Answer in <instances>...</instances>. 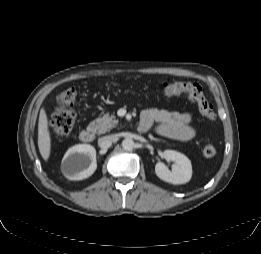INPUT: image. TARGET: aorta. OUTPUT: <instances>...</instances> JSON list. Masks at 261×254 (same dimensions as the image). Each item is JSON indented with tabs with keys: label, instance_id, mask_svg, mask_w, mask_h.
I'll return each mask as SVG.
<instances>
[{
	"label": "aorta",
	"instance_id": "aorta-1",
	"mask_svg": "<svg viewBox=\"0 0 261 254\" xmlns=\"http://www.w3.org/2000/svg\"><path fill=\"white\" fill-rule=\"evenodd\" d=\"M135 147V143L132 139L126 138L122 141V148L126 151H131Z\"/></svg>",
	"mask_w": 261,
	"mask_h": 254
}]
</instances>
